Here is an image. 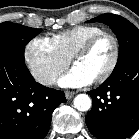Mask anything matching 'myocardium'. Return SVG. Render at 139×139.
<instances>
[{
	"mask_svg": "<svg viewBox=\"0 0 139 139\" xmlns=\"http://www.w3.org/2000/svg\"><path fill=\"white\" fill-rule=\"evenodd\" d=\"M103 38H108L111 40L113 45V55L112 59L106 68V70L95 80L96 83H103L111 77L117 68L120 59V44L117 37L110 32L102 31L84 42L73 54L71 58V63L75 65V62L88 52H90L93 47Z\"/></svg>",
	"mask_w": 139,
	"mask_h": 139,
	"instance_id": "myocardium-1",
	"label": "myocardium"
}]
</instances>
